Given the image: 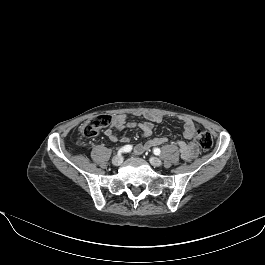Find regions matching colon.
<instances>
[{
	"mask_svg": "<svg viewBox=\"0 0 265 265\" xmlns=\"http://www.w3.org/2000/svg\"><path fill=\"white\" fill-rule=\"evenodd\" d=\"M111 122V117L106 114H101L93 117L87 121L82 127V133L86 138H92L95 136L98 130L106 127ZM194 139L197 144L204 150H208L212 147V136L208 131L196 130L194 132Z\"/></svg>",
	"mask_w": 265,
	"mask_h": 265,
	"instance_id": "colon-1",
	"label": "colon"
}]
</instances>
